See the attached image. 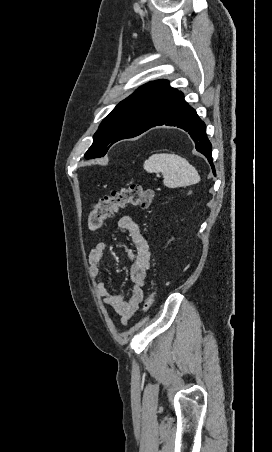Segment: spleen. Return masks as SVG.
<instances>
[{
  "label": "spleen",
  "mask_w": 272,
  "mask_h": 452,
  "mask_svg": "<svg viewBox=\"0 0 272 452\" xmlns=\"http://www.w3.org/2000/svg\"><path fill=\"white\" fill-rule=\"evenodd\" d=\"M144 169L149 173L161 172L163 182L169 188L189 186L200 181L197 170L177 154H153L144 162Z\"/></svg>",
  "instance_id": "spleen-1"
}]
</instances>
